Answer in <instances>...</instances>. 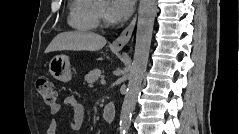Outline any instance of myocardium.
Listing matches in <instances>:
<instances>
[{
    "instance_id": "1",
    "label": "myocardium",
    "mask_w": 239,
    "mask_h": 134,
    "mask_svg": "<svg viewBox=\"0 0 239 134\" xmlns=\"http://www.w3.org/2000/svg\"><path fill=\"white\" fill-rule=\"evenodd\" d=\"M96 12L98 17V22L101 23L103 26H107L109 23L103 8L99 5V2L96 5Z\"/></svg>"
}]
</instances>
